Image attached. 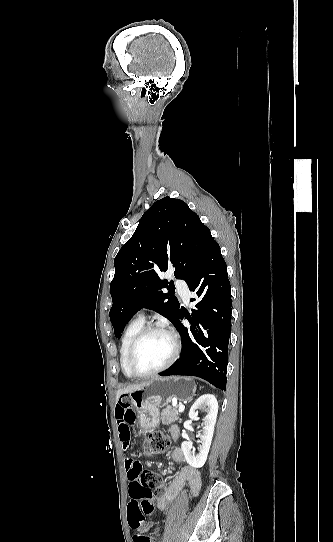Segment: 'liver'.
Wrapping results in <instances>:
<instances>
[{"instance_id":"6515ba94","label":"liver","mask_w":333,"mask_h":542,"mask_svg":"<svg viewBox=\"0 0 333 542\" xmlns=\"http://www.w3.org/2000/svg\"><path fill=\"white\" fill-rule=\"evenodd\" d=\"M147 382H142V384H133V386H127V388H121L117 390L116 400H119L120 396L123 394H130V392H135V390H142L143 386H146Z\"/></svg>"}]
</instances>
